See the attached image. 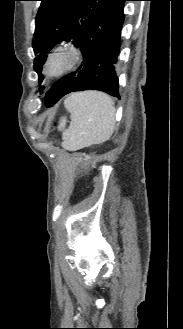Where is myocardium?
<instances>
[{
    "label": "myocardium",
    "instance_id": "obj_1",
    "mask_svg": "<svg viewBox=\"0 0 183 329\" xmlns=\"http://www.w3.org/2000/svg\"><path fill=\"white\" fill-rule=\"evenodd\" d=\"M60 55L68 56L67 64L61 69L55 71L50 70L51 62L54 58ZM82 57L83 52L78 44L72 41L61 42L50 49L43 64V74L48 78L62 77L65 74L71 72L80 63Z\"/></svg>",
    "mask_w": 183,
    "mask_h": 329
}]
</instances>
